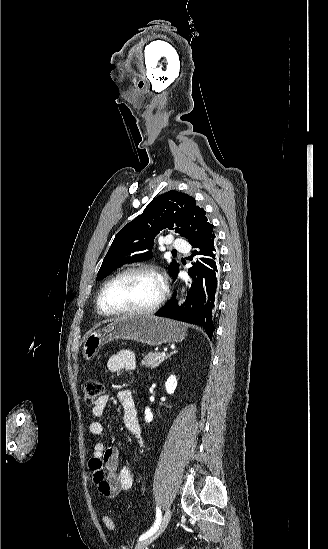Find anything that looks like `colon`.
<instances>
[{
    "label": "colon",
    "mask_w": 328,
    "mask_h": 549,
    "mask_svg": "<svg viewBox=\"0 0 328 549\" xmlns=\"http://www.w3.org/2000/svg\"><path fill=\"white\" fill-rule=\"evenodd\" d=\"M103 391L104 386L100 380L94 378L87 380L84 385V399L86 404L90 405L96 402L97 399L102 395ZM103 522L108 530L112 531L115 529V523L111 517H104Z\"/></svg>",
    "instance_id": "colon-1"
}]
</instances>
